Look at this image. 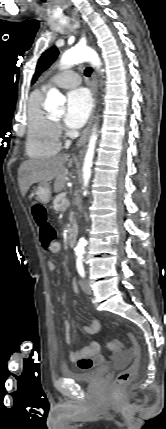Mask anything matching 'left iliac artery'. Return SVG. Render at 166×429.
I'll return each mask as SVG.
<instances>
[{
  "instance_id": "obj_1",
  "label": "left iliac artery",
  "mask_w": 166,
  "mask_h": 429,
  "mask_svg": "<svg viewBox=\"0 0 166 429\" xmlns=\"http://www.w3.org/2000/svg\"><path fill=\"white\" fill-rule=\"evenodd\" d=\"M76 267H77V271L80 274V276L84 277L85 276V271H84V267H83L82 257L81 256L77 257Z\"/></svg>"
}]
</instances>
